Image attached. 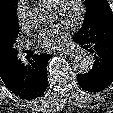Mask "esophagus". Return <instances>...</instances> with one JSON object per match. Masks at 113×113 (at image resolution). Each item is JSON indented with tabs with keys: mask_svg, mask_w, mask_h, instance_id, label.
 <instances>
[{
	"mask_svg": "<svg viewBox=\"0 0 113 113\" xmlns=\"http://www.w3.org/2000/svg\"><path fill=\"white\" fill-rule=\"evenodd\" d=\"M63 53H64L65 55H67V56L73 57V56H75V55L77 54V51L70 49V50H65V51H63Z\"/></svg>",
	"mask_w": 113,
	"mask_h": 113,
	"instance_id": "34e87169",
	"label": "esophagus"
}]
</instances>
